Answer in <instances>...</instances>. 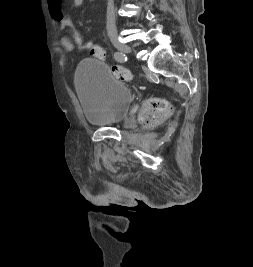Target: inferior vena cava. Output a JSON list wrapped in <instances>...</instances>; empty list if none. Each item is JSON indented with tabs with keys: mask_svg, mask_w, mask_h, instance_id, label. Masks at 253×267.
Masks as SVG:
<instances>
[{
	"mask_svg": "<svg viewBox=\"0 0 253 267\" xmlns=\"http://www.w3.org/2000/svg\"><path fill=\"white\" fill-rule=\"evenodd\" d=\"M114 0H108L107 14H106V28L107 30H115V14H114Z\"/></svg>",
	"mask_w": 253,
	"mask_h": 267,
	"instance_id": "602c4592",
	"label": "inferior vena cava"
}]
</instances>
